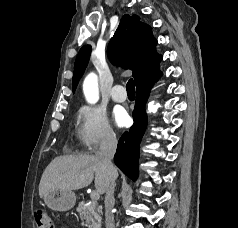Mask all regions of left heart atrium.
Segmentation results:
<instances>
[{
	"mask_svg": "<svg viewBox=\"0 0 238 228\" xmlns=\"http://www.w3.org/2000/svg\"><path fill=\"white\" fill-rule=\"evenodd\" d=\"M113 117H114V121L115 123L119 126V127H122V126H126L129 124V116L127 115V113L122 110V109H117L115 110L114 114H113Z\"/></svg>",
	"mask_w": 238,
	"mask_h": 228,
	"instance_id": "obj_1",
	"label": "left heart atrium"
}]
</instances>
